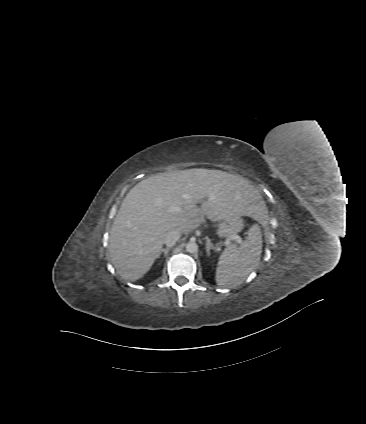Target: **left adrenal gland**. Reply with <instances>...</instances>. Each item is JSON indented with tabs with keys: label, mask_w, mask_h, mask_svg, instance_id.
Returning <instances> with one entry per match:
<instances>
[{
	"label": "left adrenal gland",
	"mask_w": 366,
	"mask_h": 424,
	"mask_svg": "<svg viewBox=\"0 0 366 424\" xmlns=\"http://www.w3.org/2000/svg\"><path fill=\"white\" fill-rule=\"evenodd\" d=\"M210 250L216 251V249L213 246V244L211 243L210 239L208 237H206V252H207V256H210Z\"/></svg>",
	"instance_id": "a2214340"
}]
</instances>
